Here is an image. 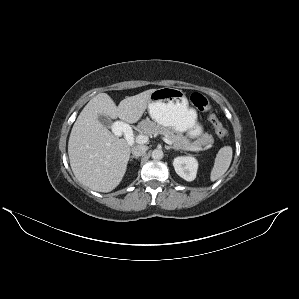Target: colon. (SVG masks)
<instances>
[{"label":"colon","instance_id":"1","mask_svg":"<svg viewBox=\"0 0 299 299\" xmlns=\"http://www.w3.org/2000/svg\"><path fill=\"white\" fill-rule=\"evenodd\" d=\"M190 101L196 109L208 114L209 120L214 126L215 132L219 137L223 138L228 134L227 128L220 122L208 99L203 94L198 92L192 93Z\"/></svg>","mask_w":299,"mask_h":299}]
</instances>
